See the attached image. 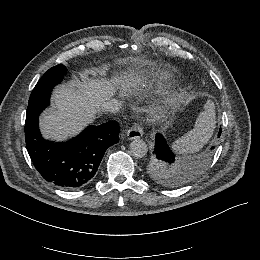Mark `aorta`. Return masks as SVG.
<instances>
[{
  "label": "aorta",
  "instance_id": "aorta-1",
  "mask_svg": "<svg viewBox=\"0 0 260 260\" xmlns=\"http://www.w3.org/2000/svg\"><path fill=\"white\" fill-rule=\"evenodd\" d=\"M147 144L141 139H135L130 143V153L135 156L142 158L147 154Z\"/></svg>",
  "mask_w": 260,
  "mask_h": 260
}]
</instances>
